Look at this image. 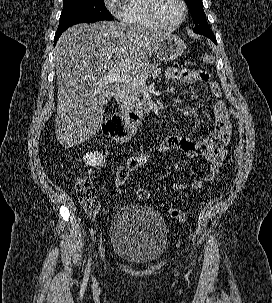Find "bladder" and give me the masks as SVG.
<instances>
[{
    "mask_svg": "<svg viewBox=\"0 0 272 303\" xmlns=\"http://www.w3.org/2000/svg\"><path fill=\"white\" fill-rule=\"evenodd\" d=\"M113 253L134 265H150L161 259L168 243L161 214L144 205H127L114 215L110 225Z\"/></svg>",
    "mask_w": 272,
    "mask_h": 303,
    "instance_id": "31cf9c89",
    "label": "bladder"
}]
</instances>
